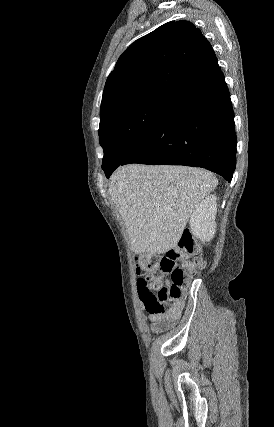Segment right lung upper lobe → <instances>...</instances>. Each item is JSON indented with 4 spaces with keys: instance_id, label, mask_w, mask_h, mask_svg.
<instances>
[{
    "instance_id": "1",
    "label": "right lung upper lobe",
    "mask_w": 274,
    "mask_h": 427,
    "mask_svg": "<svg viewBox=\"0 0 274 427\" xmlns=\"http://www.w3.org/2000/svg\"><path fill=\"white\" fill-rule=\"evenodd\" d=\"M216 55L189 21H171L131 44L119 57L103 91L100 114L137 97H180L220 73Z\"/></svg>"
}]
</instances>
